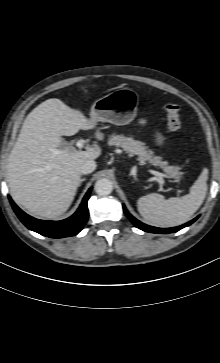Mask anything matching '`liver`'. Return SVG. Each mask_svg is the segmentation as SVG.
<instances>
[{
  "label": "liver",
  "mask_w": 220,
  "mask_h": 363,
  "mask_svg": "<svg viewBox=\"0 0 220 363\" xmlns=\"http://www.w3.org/2000/svg\"><path fill=\"white\" fill-rule=\"evenodd\" d=\"M94 126L81 111L56 98L34 108L24 120L9 156L7 178L15 203L45 219L66 212L79 187L81 163L96 159L101 149L89 147L77 151L69 147L61 149L59 155H54L51 149L63 145L62 136H72ZM95 137L103 140L104 134L97 131Z\"/></svg>",
  "instance_id": "liver-1"
}]
</instances>
